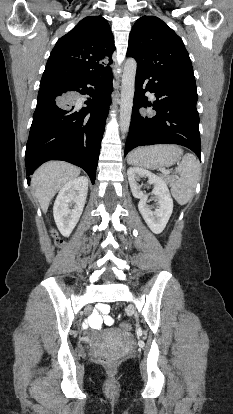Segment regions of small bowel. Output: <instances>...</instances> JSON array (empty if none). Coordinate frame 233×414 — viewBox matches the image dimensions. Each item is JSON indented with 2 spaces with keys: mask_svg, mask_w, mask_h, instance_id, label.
Masks as SVG:
<instances>
[{
  "mask_svg": "<svg viewBox=\"0 0 233 414\" xmlns=\"http://www.w3.org/2000/svg\"><path fill=\"white\" fill-rule=\"evenodd\" d=\"M96 305V309L88 319L90 327L93 329H100L103 324L111 326L113 324V318L109 315V305L101 300L98 301Z\"/></svg>",
  "mask_w": 233,
  "mask_h": 414,
  "instance_id": "small-bowel-1",
  "label": "small bowel"
}]
</instances>
